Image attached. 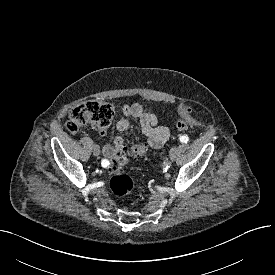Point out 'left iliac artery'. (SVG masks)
Wrapping results in <instances>:
<instances>
[{"label":"left iliac artery","instance_id":"obj_1","mask_svg":"<svg viewBox=\"0 0 275 275\" xmlns=\"http://www.w3.org/2000/svg\"><path fill=\"white\" fill-rule=\"evenodd\" d=\"M179 139L182 143H187L189 141V138L187 135H183Z\"/></svg>","mask_w":275,"mask_h":275}]
</instances>
